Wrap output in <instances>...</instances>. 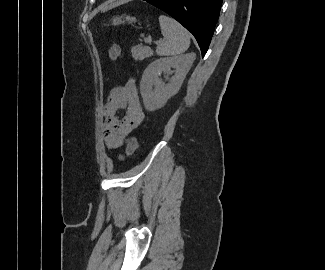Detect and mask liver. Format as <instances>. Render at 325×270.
<instances>
[{
  "label": "liver",
  "instance_id": "obj_1",
  "mask_svg": "<svg viewBox=\"0 0 325 270\" xmlns=\"http://www.w3.org/2000/svg\"><path fill=\"white\" fill-rule=\"evenodd\" d=\"M127 0H119V1H116V2H112L110 4H106L104 6L101 7V12H106L114 7H117L118 5L126 2Z\"/></svg>",
  "mask_w": 325,
  "mask_h": 270
}]
</instances>
